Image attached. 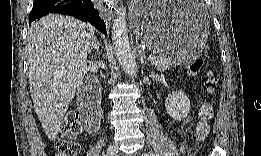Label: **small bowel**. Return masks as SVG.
<instances>
[{
    "label": "small bowel",
    "mask_w": 261,
    "mask_h": 156,
    "mask_svg": "<svg viewBox=\"0 0 261 156\" xmlns=\"http://www.w3.org/2000/svg\"><path fill=\"white\" fill-rule=\"evenodd\" d=\"M181 151L184 152L185 151V145L181 146Z\"/></svg>",
    "instance_id": "small-bowel-1"
}]
</instances>
